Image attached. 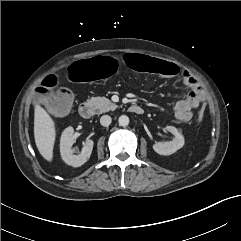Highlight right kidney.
<instances>
[{
    "label": "right kidney",
    "mask_w": 241,
    "mask_h": 241,
    "mask_svg": "<svg viewBox=\"0 0 241 241\" xmlns=\"http://www.w3.org/2000/svg\"><path fill=\"white\" fill-rule=\"evenodd\" d=\"M75 138L74 129L72 127L66 128L61 135L60 153L66 164L80 167L90 158L94 142L87 140L82 151L76 155L74 154L75 150L72 148Z\"/></svg>",
    "instance_id": "right-kidney-1"
}]
</instances>
